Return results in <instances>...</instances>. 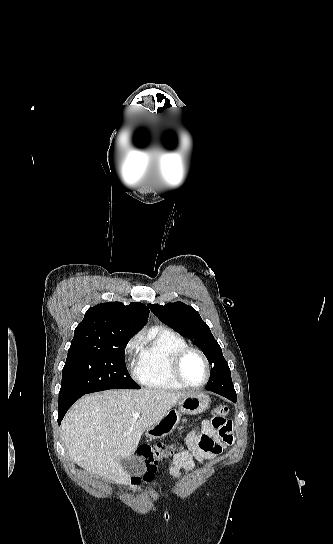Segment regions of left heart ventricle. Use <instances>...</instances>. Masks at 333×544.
Segmentation results:
<instances>
[{
	"label": "left heart ventricle",
	"instance_id": "b2bd125f",
	"mask_svg": "<svg viewBox=\"0 0 333 544\" xmlns=\"http://www.w3.org/2000/svg\"><path fill=\"white\" fill-rule=\"evenodd\" d=\"M182 374L188 383L198 385L206 378L205 364L198 355L190 354L183 362Z\"/></svg>",
	"mask_w": 333,
	"mask_h": 544
}]
</instances>
